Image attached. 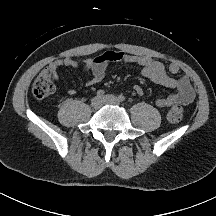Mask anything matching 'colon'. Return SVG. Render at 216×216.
I'll list each match as a JSON object with an SVG mask.
<instances>
[{
	"mask_svg": "<svg viewBox=\"0 0 216 216\" xmlns=\"http://www.w3.org/2000/svg\"><path fill=\"white\" fill-rule=\"evenodd\" d=\"M55 89L54 76L48 72H41L32 84V94L37 99H43L53 93ZM184 116V110L180 105H174L167 113L170 123H179Z\"/></svg>",
	"mask_w": 216,
	"mask_h": 216,
	"instance_id": "1",
	"label": "colon"
}]
</instances>
